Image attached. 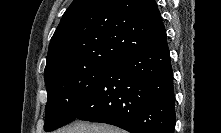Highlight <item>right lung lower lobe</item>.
<instances>
[{
	"mask_svg": "<svg viewBox=\"0 0 221 133\" xmlns=\"http://www.w3.org/2000/svg\"><path fill=\"white\" fill-rule=\"evenodd\" d=\"M131 133H174L173 73L167 40L112 64L74 120Z\"/></svg>",
	"mask_w": 221,
	"mask_h": 133,
	"instance_id": "98d812e1",
	"label": "right lung lower lobe"
}]
</instances>
